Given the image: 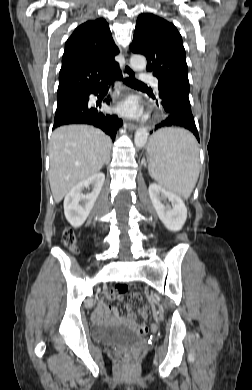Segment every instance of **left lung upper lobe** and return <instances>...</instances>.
<instances>
[{
    "label": "left lung upper lobe",
    "mask_w": 252,
    "mask_h": 390,
    "mask_svg": "<svg viewBox=\"0 0 252 390\" xmlns=\"http://www.w3.org/2000/svg\"><path fill=\"white\" fill-rule=\"evenodd\" d=\"M133 53L147 59V71L159 84H166L189 92L188 67L182 37L176 27L153 14H141L136 22Z\"/></svg>",
    "instance_id": "1"
}]
</instances>
